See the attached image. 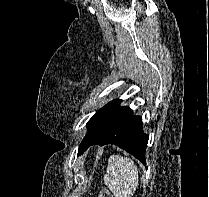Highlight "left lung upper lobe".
Wrapping results in <instances>:
<instances>
[{
  "label": "left lung upper lobe",
  "instance_id": "obj_1",
  "mask_svg": "<svg viewBox=\"0 0 209 197\" xmlns=\"http://www.w3.org/2000/svg\"><path fill=\"white\" fill-rule=\"evenodd\" d=\"M112 102H109L107 105H105L103 108H101L100 110H98L93 116L92 118L88 121L87 123V127L89 128L92 123L99 117V115L111 104Z\"/></svg>",
  "mask_w": 209,
  "mask_h": 197
}]
</instances>
